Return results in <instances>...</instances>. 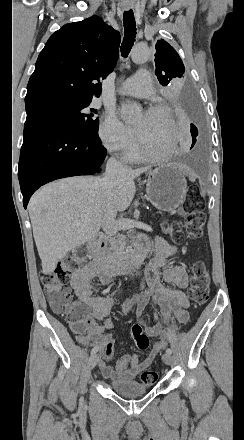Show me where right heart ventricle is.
Listing matches in <instances>:
<instances>
[{"label": "right heart ventricle", "instance_id": "right-heart-ventricle-1", "mask_svg": "<svg viewBox=\"0 0 244 440\" xmlns=\"http://www.w3.org/2000/svg\"><path fill=\"white\" fill-rule=\"evenodd\" d=\"M140 138V137H139ZM141 143H137L133 149L127 151L124 155V160L128 162H147L149 156L144 151L143 147L140 145Z\"/></svg>", "mask_w": 244, "mask_h": 440}]
</instances>
